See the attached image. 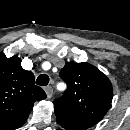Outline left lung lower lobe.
I'll list each match as a JSON object with an SVG mask.
<instances>
[{"instance_id": "1", "label": "left lung lower lobe", "mask_w": 130, "mask_h": 130, "mask_svg": "<svg viewBox=\"0 0 130 130\" xmlns=\"http://www.w3.org/2000/svg\"><path fill=\"white\" fill-rule=\"evenodd\" d=\"M55 114L59 125L66 130H86L97 123L88 117L75 114L60 106L55 107Z\"/></svg>"}]
</instances>
